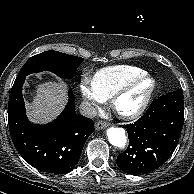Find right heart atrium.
<instances>
[{
	"label": "right heart atrium",
	"mask_w": 194,
	"mask_h": 194,
	"mask_svg": "<svg viewBox=\"0 0 194 194\" xmlns=\"http://www.w3.org/2000/svg\"><path fill=\"white\" fill-rule=\"evenodd\" d=\"M78 89L87 114L94 113L104 103V99L99 95L92 79L89 77L82 76L78 84Z\"/></svg>",
	"instance_id": "obj_1"
}]
</instances>
